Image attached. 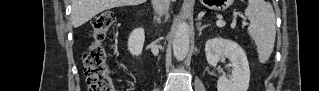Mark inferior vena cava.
Returning a JSON list of instances; mask_svg holds the SVG:
<instances>
[{
    "label": "inferior vena cava",
    "instance_id": "602c4592",
    "mask_svg": "<svg viewBox=\"0 0 319 91\" xmlns=\"http://www.w3.org/2000/svg\"><path fill=\"white\" fill-rule=\"evenodd\" d=\"M153 8L158 17L168 15L170 0H152Z\"/></svg>",
    "mask_w": 319,
    "mask_h": 91
}]
</instances>
